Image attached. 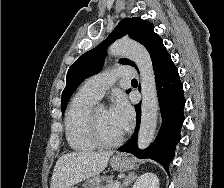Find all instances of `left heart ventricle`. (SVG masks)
<instances>
[{
	"instance_id": "left-heart-ventricle-1",
	"label": "left heart ventricle",
	"mask_w": 224,
	"mask_h": 188,
	"mask_svg": "<svg viewBox=\"0 0 224 188\" xmlns=\"http://www.w3.org/2000/svg\"><path fill=\"white\" fill-rule=\"evenodd\" d=\"M97 118L100 133L105 139L113 140L123 133V130L118 126L106 108L99 109Z\"/></svg>"
}]
</instances>
